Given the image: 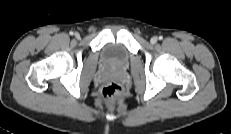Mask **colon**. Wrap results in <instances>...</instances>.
<instances>
[{"label":"colon","mask_w":231,"mask_h":134,"mask_svg":"<svg viewBox=\"0 0 231 134\" xmlns=\"http://www.w3.org/2000/svg\"><path fill=\"white\" fill-rule=\"evenodd\" d=\"M101 95L105 101L113 102L122 96V89L116 83H110L102 89Z\"/></svg>","instance_id":"1"}]
</instances>
